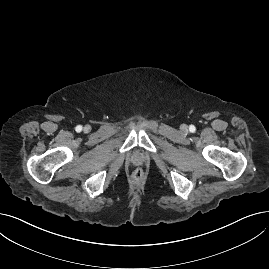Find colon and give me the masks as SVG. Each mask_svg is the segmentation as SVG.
Listing matches in <instances>:
<instances>
[{"label":"colon","instance_id":"obj_1","mask_svg":"<svg viewBox=\"0 0 269 269\" xmlns=\"http://www.w3.org/2000/svg\"><path fill=\"white\" fill-rule=\"evenodd\" d=\"M143 175H144V172H143V169L142 168H140V167H136L135 169H134V171H133V177L135 178V179H141L142 177H143Z\"/></svg>","mask_w":269,"mask_h":269}]
</instances>
